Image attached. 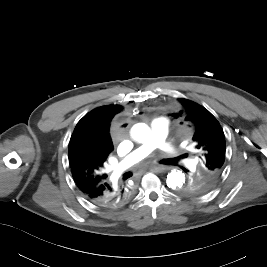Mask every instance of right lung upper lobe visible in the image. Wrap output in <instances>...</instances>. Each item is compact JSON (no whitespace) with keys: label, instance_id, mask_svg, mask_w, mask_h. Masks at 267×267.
<instances>
[{"label":"right lung upper lobe","instance_id":"1","mask_svg":"<svg viewBox=\"0 0 267 267\" xmlns=\"http://www.w3.org/2000/svg\"><path fill=\"white\" fill-rule=\"evenodd\" d=\"M121 109L118 105L96 108L86 114L74 129L69 143V163L74 181L83 191L107 181L108 176L102 169L113 151L108 124ZM87 161L95 162L97 170L94 176L83 179L80 176V167Z\"/></svg>","mask_w":267,"mask_h":267}]
</instances>
